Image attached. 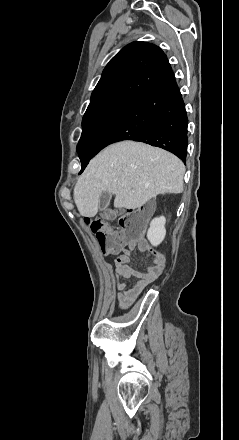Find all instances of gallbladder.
Masks as SVG:
<instances>
[{"label": "gallbladder", "mask_w": 239, "mask_h": 440, "mask_svg": "<svg viewBox=\"0 0 239 440\" xmlns=\"http://www.w3.org/2000/svg\"><path fill=\"white\" fill-rule=\"evenodd\" d=\"M111 198H112V194H110V192H101V196H99V204H98L99 210H105Z\"/></svg>", "instance_id": "obj_1"}]
</instances>
